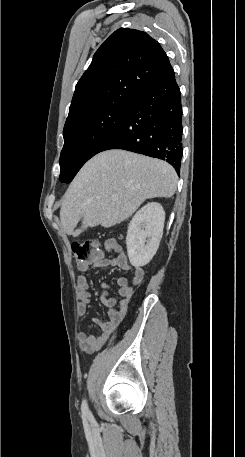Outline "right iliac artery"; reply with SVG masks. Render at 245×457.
Returning <instances> with one entry per match:
<instances>
[{
	"instance_id": "obj_1",
	"label": "right iliac artery",
	"mask_w": 245,
	"mask_h": 457,
	"mask_svg": "<svg viewBox=\"0 0 245 457\" xmlns=\"http://www.w3.org/2000/svg\"><path fill=\"white\" fill-rule=\"evenodd\" d=\"M81 410H82V414L84 416H87L93 423H94V420L92 418V415L88 409V406H87V403L86 401L84 400L83 403H82V407H81Z\"/></svg>"
}]
</instances>
